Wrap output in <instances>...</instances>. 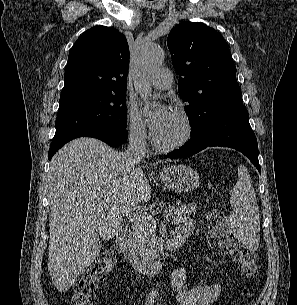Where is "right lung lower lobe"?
I'll use <instances>...</instances> for the list:
<instances>
[{
	"mask_svg": "<svg viewBox=\"0 0 297 305\" xmlns=\"http://www.w3.org/2000/svg\"><path fill=\"white\" fill-rule=\"evenodd\" d=\"M78 137H93L106 142L110 146H119L126 142L128 134L126 129H117V128L88 129L75 134L74 136L68 138L58 146L50 147L48 153L49 160L63 145H65L70 140Z\"/></svg>",
	"mask_w": 297,
	"mask_h": 305,
	"instance_id": "obj_1",
	"label": "right lung lower lobe"
}]
</instances>
